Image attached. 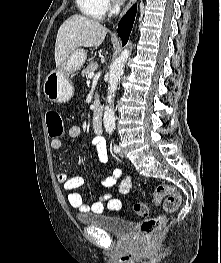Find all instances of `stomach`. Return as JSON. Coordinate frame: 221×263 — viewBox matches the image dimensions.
I'll return each instance as SVG.
<instances>
[{
    "label": "stomach",
    "mask_w": 221,
    "mask_h": 263,
    "mask_svg": "<svg viewBox=\"0 0 221 263\" xmlns=\"http://www.w3.org/2000/svg\"><path fill=\"white\" fill-rule=\"evenodd\" d=\"M86 60V52L83 49L73 51L70 56L46 77L43 92L51 102L64 103L69 101L74 93V87L69 80V74L79 70Z\"/></svg>",
    "instance_id": "obj_1"
}]
</instances>
